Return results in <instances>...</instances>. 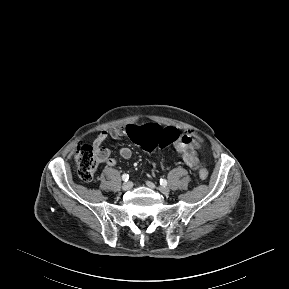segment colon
<instances>
[{
    "mask_svg": "<svg viewBox=\"0 0 289 289\" xmlns=\"http://www.w3.org/2000/svg\"><path fill=\"white\" fill-rule=\"evenodd\" d=\"M128 135L144 152L150 153L155 148H165L178 141L182 135L174 128L162 129L156 124H149L143 127L129 126ZM75 162L80 178L89 182L93 180L97 167L101 162L100 152L97 147L83 144L80 145L75 154ZM208 170L201 167L199 178L206 180Z\"/></svg>",
    "mask_w": 289,
    "mask_h": 289,
    "instance_id": "obj_1",
    "label": "colon"
}]
</instances>
